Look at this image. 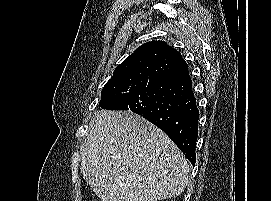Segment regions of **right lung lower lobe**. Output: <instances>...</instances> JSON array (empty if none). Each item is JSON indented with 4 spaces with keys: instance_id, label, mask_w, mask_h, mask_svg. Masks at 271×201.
<instances>
[{
    "instance_id": "obj_1",
    "label": "right lung lower lobe",
    "mask_w": 271,
    "mask_h": 201,
    "mask_svg": "<svg viewBox=\"0 0 271 201\" xmlns=\"http://www.w3.org/2000/svg\"><path fill=\"white\" fill-rule=\"evenodd\" d=\"M150 74L146 89L125 99L119 110L137 113L162 129L194 165L199 111L188 66L173 50L152 66Z\"/></svg>"
}]
</instances>
